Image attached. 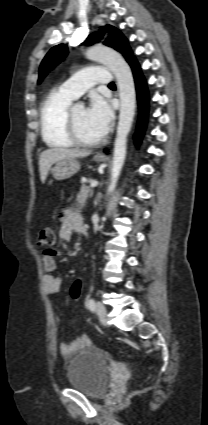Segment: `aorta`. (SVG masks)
Segmentation results:
<instances>
[{"label":"aorta","instance_id":"aorta-1","mask_svg":"<svg viewBox=\"0 0 208 425\" xmlns=\"http://www.w3.org/2000/svg\"><path fill=\"white\" fill-rule=\"evenodd\" d=\"M86 57L92 61L104 63L116 77L119 90L120 114L114 143L111 183L108 187V192H112L125 161L127 136L133 123L136 107L135 84L129 65L113 49L93 46L86 51Z\"/></svg>","mask_w":208,"mask_h":425}]
</instances>
